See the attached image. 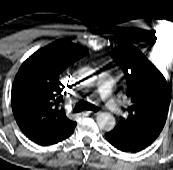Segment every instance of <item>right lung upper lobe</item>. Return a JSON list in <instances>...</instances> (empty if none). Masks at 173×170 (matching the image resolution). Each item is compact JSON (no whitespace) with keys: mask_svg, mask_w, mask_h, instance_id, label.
I'll return each instance as SVG.
<instances>
[{"mask_svg":"<svg viewBox=\"0 0 173 170\" xmlns=\"http://www.w3.org/2000/svg\"><path fill=\"white\" fill-rule=\"evenodd\" d=\"M86 53L70 41L57 40L21 65L12 85V109L19 128L31 141L49 142L76 126L61 107L60 77Z\"/></svg>","mask_w":173,"mask_h":170,"instance_id":"1","label":"right lung upper lobe"}]
</instances>
